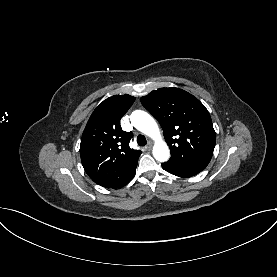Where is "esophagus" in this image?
<instances>
[{
	"mask_svg": "<svg viewBox=\"0 0 277 277\" xmlns=\"http://www.w3.org/2000/svg\"><path fill=\"white\" fill-rule=\"evenodd\" d=\"M151 148H152V142H149V143L147 144V146H146V149H147V150H151Z\"/></svg>",
	"mask_w": 277,
	"mask_h": 277,
	"instance_id": "esophagus-1",
	"label": "esophagus"
}]
</instances>
